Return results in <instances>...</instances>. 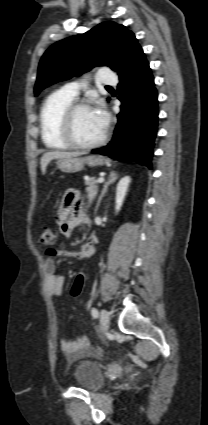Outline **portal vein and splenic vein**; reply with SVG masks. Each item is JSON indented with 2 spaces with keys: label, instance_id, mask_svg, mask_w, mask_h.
Here are the masks:
<instances>
[{
  "label": "portal vein and splenic vein",
  "instance_id": "obj_1",
  "mask_svg": "<svg viewBox=\"0 0 208 425\" xmlns=\"http://www.w3.org/2000/svg\"><path fill=\"white\" fill-rule=\"evenodd\" d=\"M104 180H105L104 177H100V178H98L97 183H103Z\"/></svg>",
  "mask_w": 208,
  "mask_h": 425
}]
</instances>
